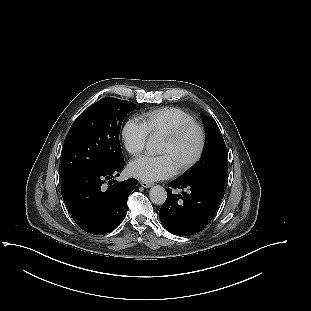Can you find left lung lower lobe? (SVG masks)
<instances>
[{"label": "left lung lower lobe", "instance_id": "1", "mask_svg": "<svg viewBox=\"0 0 311 311\" xmlns=\"http://www.w3.org/2000/svg\"><path fill=\"white\" fill-rule=\"evenodd\" d=\"M172 188H188L189 193L174 195L167 188V199L159 211L164 228L177 236H189L203 230L217 211L224 193L222 188L206 181L175 179Z\"/></svg>", "mask_w": 311, "mask_h": 311}]
</instances>
